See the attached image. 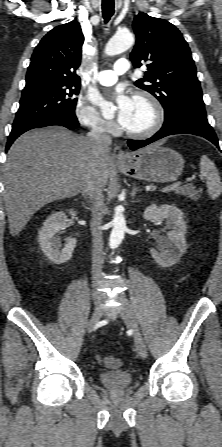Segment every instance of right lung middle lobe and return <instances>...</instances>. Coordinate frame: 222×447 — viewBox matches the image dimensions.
<instances>
[{
  "label": "right lung middle lobe",
  "mask_w": 222,
  "mask_h": 447,
  "mask_svg": "<svg viewBox=\"0 0 222 447\" xmlns=\"http://www.w3.org/2000/svg\"><path fill=\"white\" fill-rule=\"evenodd\" d=\"M78 93V85H43L24 89L13 127L55 114L74 113L77 99L73 96Z\"/></svg>",
  "instance_id": "obj_1"
}]
</instances>
